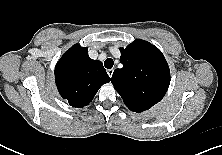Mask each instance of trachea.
<instances>
[{
    "instance_id": "obj_1",
    "label": "trachea",
    "mask_w": 222,
    "mask_h": 155,
    "mask_svg": "<svg viewBox=\"0 0 222 155\" xmlns=\"http://www.w3.org/2000/svg\"><path fill=\"white\" fill-rule=\"evenodd\" d=\"M114 65V62L111 58H107L104 62V66L107 68V69H111Z\"/></svg>"
}]
</instances>
